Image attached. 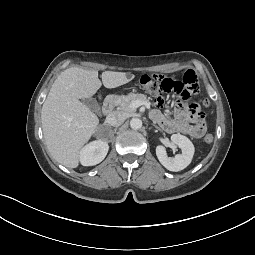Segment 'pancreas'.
I'll list each match as a JSON object with an SVG mask.
<instances>
[{
  "mask_svg": "<svg viewBox=\"0 0 255 255\" xmlns=\"http://www.w3.org/2000/svg\"><path fill=\"white\" fill-rule=\"evenodd\" d=\"M135 100H140L143 102H149L148 98L144 94L130 93L128 95H122L115 98V105L118 109L123 112H131L134 109L130 107L131 103Z\"/></svg>",
  "mask_w": 255,
  "mask_h": 255,
  "instance_id": "1",
  "label": "pancreas"
}]
</instances>
